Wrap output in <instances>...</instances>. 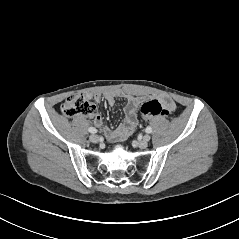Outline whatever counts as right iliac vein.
<instances>
[{
  "mask_svg": "<svg viewBox=\"0 0 239 239\" xmlns=\"http://www.w3.org/2000/svg\"><path fill=\"white\" fill-rule=\"evenodd\" d=\"M89 139L92 143H97L99 141V137L96 134L90 135Z\"/></svg>",
  "mask_w": 239,
  "mask_h": 239,
  "instance_id": "63e3f726",
  "label": "right iliac vein"
}]
</instances>
